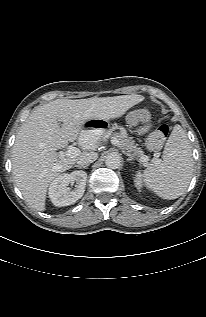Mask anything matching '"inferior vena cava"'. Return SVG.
<instances>
[{
    "label": "inferior vena cava",
    "instance_id": "1",
    "mask_svg": "<svg viewBox=\"0 0 206 317\" xmlns=\"http://www.w3.org/2000/svg\"><path fill=\"white\" fill-rule=\"evenodd\" d=\"M98 154L96 152H84L77 158V164L78 166H87L90 163L97 160Z\"/></svg>",
    "mask_w": 206,
    "mask_h": 317
}]
</instances>
